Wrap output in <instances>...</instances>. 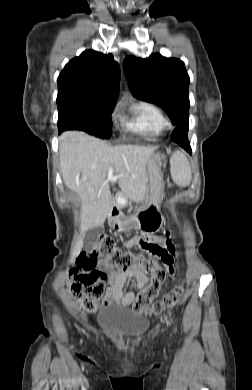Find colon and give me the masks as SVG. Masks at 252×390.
<instances>
[{"mask_svg": "<svg viewBox=\"0 0 252 390\" xmlns=\"http://www.w3.org/2000/svg\"><path fill=\"white\" fill-rule=\"evenodd\" d=\"M141 224L143 226L140 240L142 251L133 252L128 247L118 244L110 235H103L98 239L93 250L84 254L76 267L72 269V290L84 310L95 311L97 301L103 294L104 280L108 274L96 270L99 262H103L109 269L117 272L142 270L150 275L149 283L135 296L133 310L136 314L141 315L147 311L161 313L179 302L183 294L181 285L175 286L162 299L154 302L150 310L148 309L163 282L174 275L175 268L171 256L166 254L162 261L165 268L159 265L155 258L157 256L151 253L156 246L149 240V236L156 231V226L146 221H141Z\"/></svg>", "mask_w": 252, "mask_h": 390, "instance_id": "5ec220e1", "label": "colon"}]
</instances>
